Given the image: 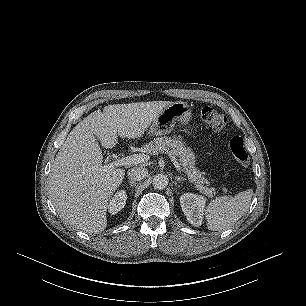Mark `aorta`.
Here are the masks:
<instances>
[{"label": "aorta", "instance_id": "1", "mask_svg": "<svg viewBox=\"0 0 306 306\" xmlns=\"http://www.w3.org/2000/svg\"><path fill=\"white\" fill-rule=\"evenodd\" d=\"M168 185V177L165 174H157L153 179V186L156 189L163 190Z\"/></svg>", "mask_w": 306, "mask_h": 306}]
</instances>
